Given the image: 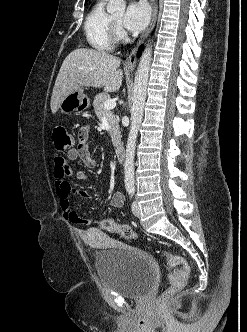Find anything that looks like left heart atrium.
<instances>
[{
	"label": "left heart atrium",
	"instance_id": "39dd6f15",
	"mask_svg": "<svg viewBox=\"0 0 247 332\" xmlns=\"http://www.w3.org/2000/svg\"><path fill=\"white\" fill-rule=\"evenodd\" d=\"M150 19V8L144 0L129 4L122 20L125 29L131 32L143 30Z\"/></svg>",
	"mask_w": 247,
	"mask_h": 332
}]
</instances>
